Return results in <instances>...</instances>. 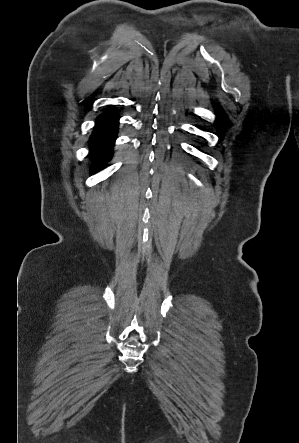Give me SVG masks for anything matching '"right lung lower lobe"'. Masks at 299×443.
<instances>
[{"mask_svg":"<svg viewBox=\"0 0 299 443\" xmlns=\"http://www.w3.org/2000/svg\"><path fill=\"white\" fill-rule=\"evenodd\" d=\"M119 116L114 109L97 118L94 132L90 138L92 160L103 165L111 158L112 148L118 130Z\"/></svg>","mask_w":299,"mask_h":443,"instance_id":"obj_1","label":"right lung lower lobe"}]
</instances>
